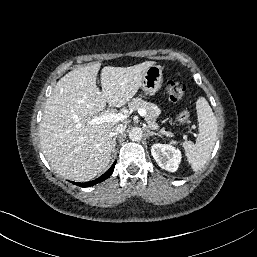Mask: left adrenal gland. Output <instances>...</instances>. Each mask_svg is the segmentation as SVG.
I'll use <instances>...</instances> for the list:
<instances>
[{"mask_svg":"<svg viewBox=\"0 0 257 257\" xmlns=\"http://www.w3.org/2000/svg\"><path fill=\"white\" fill-rule=\"evenodd\" d=\"M147 133H148V135H149V136L156 135V136H160V137H161V135H160V134L155 133V132L151 131L150 129H147Z\"/></svg>","mask_w":257,"mask_h":257,"instance_id":"left-adrenal-gland-1","label":"left adrenal gland"}]
</instances>
